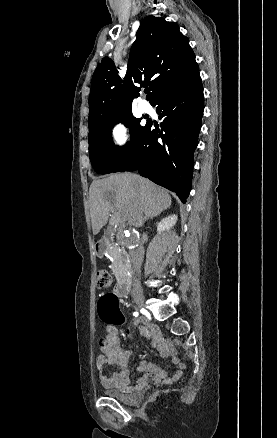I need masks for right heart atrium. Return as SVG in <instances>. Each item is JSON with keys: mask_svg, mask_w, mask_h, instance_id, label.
Masks as SVG:
<instances>
[{"mask_svg": "<svg viewBox=\"0 0 277 438\" xmlns=\"http://www.w3.org/2000/svg\"><path fill=\"white\" fill-rule=\"evenodd\" d=\"M113 136H114L116 142H118L120 144L124 143L127 140L126 127L121 123L116 124L113 128Z\"/></svg>", "mask_w": 277, "mask_h": 438, "instance_id": "1", "label": "right heart atrium"}]
</instances>
